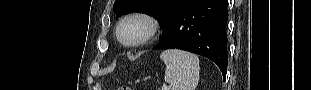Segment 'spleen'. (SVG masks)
<instances>
[{
  "label": "spleen",
  "mask_w": 311,
  "mask_h": 90,
  "mask_svg": "<svg viewBox=\"0 0 311 90\" xmlns=\"http://www.w3.org/2000/svg\"><path fill=\"white\" fill-rule=\"evenodd\" d=\"M166 65L165 82L171 90H195L199 82V59L190 52L170 49L160 55Z\"/></svg>",
  "instance_id": "1"
}]
</instances>
